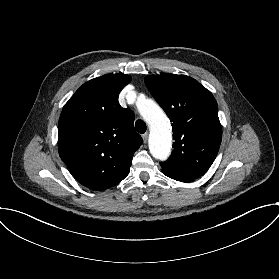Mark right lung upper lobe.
Here are the masks:
<instances>
[{"mask_svg": "<svg viewBox=\"0 0 279 279\" xmlns=\"http://www.w3.org/2000/svg\"><path fill=\"white\" fill-rule=\"evenodd\" d=\"M131 81L107 74L83 84L64 106L58 126V151L75 179L101 191L120 183L143 143L133 127L134 114L119 105Z\"/></svg>", "mask_w": 279, "mask_h": 279, "instance_id": "cb5924a9", "label": "right lung upper lobe"}]
</instances>
